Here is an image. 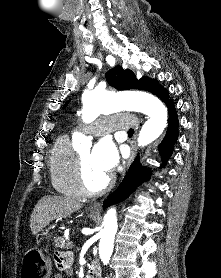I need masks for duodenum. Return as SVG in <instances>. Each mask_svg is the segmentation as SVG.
<instances>
[{
  "mask_svg": "<svg viewBox=\"0 0 221 278\" xmlns=\"http://www.w3.org/2000/svg\"><path fill=\"white\" fill-rule=\"evenodd\" d=\"M86 278H101V273L96 267H90Z\"/></svg>",
  "mask_w": 221,
  "mask_h": 278,
  "instance_id": "410a0bca",
  "label": "duodenum"
}]
</instances>
